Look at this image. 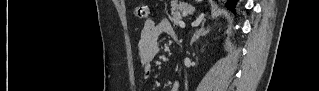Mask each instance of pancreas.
<instances>
[{
  "label": "pancreas",
  "instance_id": "cf45deb5",
  "mask_svg": "<svg viewBox=\"0 0 319 91\" xmlns=\"http://www.w3.org/2000/svg\"><path fill=\"white\" fill-rule=\"evenodd\" d=\"M191 11V7L185 4H177L172 5L171 9V21L174 25H177L179 21L182 19V13H189Z\"/></svg>",
  "mask_w": 319,
  "mask_h": 91
}]
</instances>
